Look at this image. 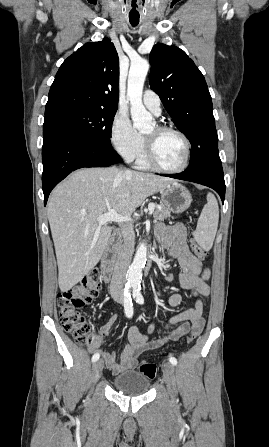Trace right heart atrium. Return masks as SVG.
<instances>
[{"mask_svg": "<svg viewBox=\"0 0 269 447\" xmlns=\"http://www.w3.org/2000/svg\"><path fill=\"white\" fill-rule=\"evenodd\" d=\"M142 137L133 128L129 117L117 111L113 116L110 128V141L114 148L126 159L133 160L137 156Z\"/></svg>", "mask_w": 269, "mask_h": 447, "instance_id": "obj_1", "label": "right heart atrium"}]
</instances>
